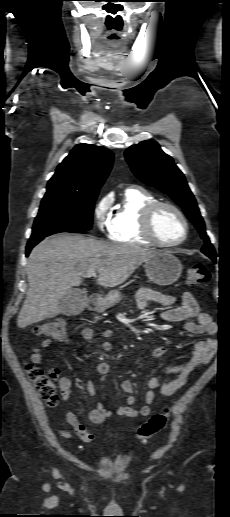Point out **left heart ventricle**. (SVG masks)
<instances>
[{
    "instance_id": "obj_1",
    "label": "left heart ventricle",
    "mask_w": 230,
    "mask_h": 517,
    "mask_svg": "<svg viewBox=\"0 0 230 517\" xmlns=\"http://www.w3.org/2000/svg\"><path fill=\"white\" fill-rule=\"evenodd\" d=\"M154 229L157 236L166 242L180 240L184 234L181 219L170 209H161L156 216Z\"/></svg>"
}]
</instances>
